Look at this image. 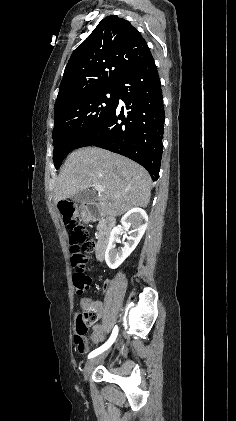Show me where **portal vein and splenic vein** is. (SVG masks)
<instances>
[{
    "instance_id": "obj_1",
    "label": "portal vein and splenic vein",
    "mask_w": 236,
    "mask_h": 421,
    "mask_svg": "<svg viewBox=\"0 0 236 421\" xmlns=\"http://www.w3.org/2000/svg\"><path fill=\"white\" fill-rule=\"evenodd\" d=\"M92 186H94V188H96V190H104L102 184H92ZM119 194H117V196H114V198H118Z\"/></svg>"
}]
</instances>
